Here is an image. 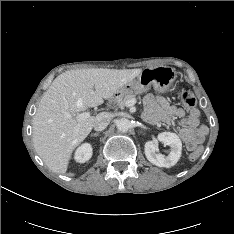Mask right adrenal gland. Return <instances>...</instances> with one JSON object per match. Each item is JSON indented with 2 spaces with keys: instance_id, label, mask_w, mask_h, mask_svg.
Wrapping results in <instances>:
<instances>
[{
  "instance_id": "right-adrenal-gland-1",
  "label": "right adrenal gland",
  "mask_w": 234,
  "mask_h": 234,
  "mask_svg": "<svg viewBox=\"0 0 234 234\" xmlns=\"http://www.w3.org/2000/svg\"><path fill=\"white\" fill-rule=\"evenodd\" d=\"M97 136H99V133L97 132V133H92L91 134V137H97Z\"/></svg>"
}]
</instances>
